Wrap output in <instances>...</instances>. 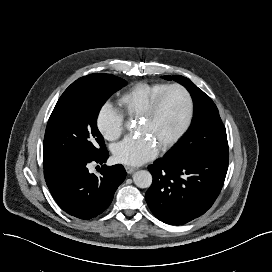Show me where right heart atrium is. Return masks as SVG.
Returning <instances> with one entry per match:
<instances>
[{
    "mask_svg": "<svg viewBox=\"0 0 272 272\" xmlns=\"http://www.w3.org/2000/svg\"><path fill=\"white\" fill-rule=\"evenodd\" d=\"M95 126L105 140L115 141L122 135L124 130L123 114L110 102H105L97 111Z\"/></svg>",
    "mask_w": 272,
    "mask_h": 272,
    "instance_id": "d8ad5b80",
    "label": "right heart atrium"
}]
</instances>
